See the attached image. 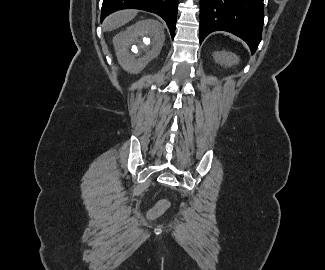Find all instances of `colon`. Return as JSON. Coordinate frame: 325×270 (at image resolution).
<instances>
[{
	"label": "colon",
	"mask_w": 325,
	"mask_h": 270,
	"mask_svg": "<svg viewBox=\"0 0 325 270\" xmlns=\"http://www.w3.org/2000/svg\"><path fill=\"white\" fill-rule=\"evenodd\" d=\"M170 206V203L168 200H160L158 201L149 211V216L151 218H156L163 214Z\"/></svg>",
	"instance_id": "obj_1"
}]
</instances>
